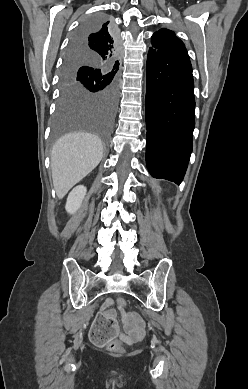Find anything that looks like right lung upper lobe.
Listing matches in <instances>:
<instances>
[{"label":"right lung upper lobe","instance_id":"obj_1","mask_svg":"<svg viewBox=\"0 0 248 389\" xmlns=\"http://www.w3.org/2000/svg\"><path fill=\"white\" fill-rule=\"evenodd\" d=\"M75 43H78V46H76L78 51L106 64L112 72L117 73L119 69V61L117 59L120 55V47L119 42L116 43L112 36L109 21L104 23L97 31L87 34Z\"/></svg>","mask_w":248,"mask_h":389}]
</instances>
